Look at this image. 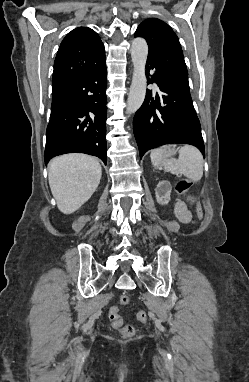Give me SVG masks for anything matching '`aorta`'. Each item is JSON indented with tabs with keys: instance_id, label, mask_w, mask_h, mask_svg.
I'll return each mask as SVG.
<instances>
[{
	"instance_id": "aorta-1",
	"label": "aorta",
	"mask_w": 249,
	"mask_h": 382,
	"mask_svg": "<svg viewBox=\"0 0 249 382\" xmlns=\"http://www.w3.org/2000/svg\"><path fill=\"white\" fill-rule=\"evenodd\" d=\"M148 56V45L143 38H135L131 45L133 77L127 100L126 113H135L142 105L146 95L145 65Z\"/></svg>"
}]
</instances>
